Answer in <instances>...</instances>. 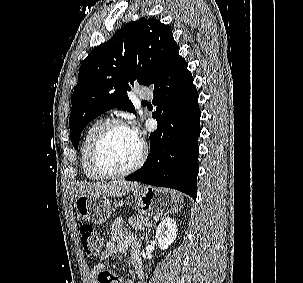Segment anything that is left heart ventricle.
Returning <instances> with one entry per match:
<instances>
[{
	"mask_svg": "<svg viewBox=\"0 0 303 283\" xmlns=\"http://www.w3.org/2000/svg\"><path fill=\"white\" fill-rule=\"evenodd\" d=\"M140 151V142L126 127H113L106 135L102 148L103 164L112 171H120L134 163Z\"/></svg>",
	"mask_w": 303,
	"mask_h": 283,
	"instance_id": "b2bd125f",
	"label": "left heart ventricle"
}]
</instances>
